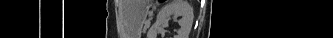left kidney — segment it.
I'll list each match as a JSON object with an SVG mask.
<instances>
[{
    "instance_id": "5707ae66",
    "label": "left kidney",
    "mask_w": 333,
    "mask_h": 38,
    "mask_svg": "<svg viewBox=\"0 0 333 38\" xmlns=\"http://www.w3.org/2000/svg\"><path fill=\"white\" fill-rule=\"evenodd\" d=\"M172 15L182 17L179 21L180 28L173 38H188L193 24V9L186 0H172L161 8L155 23L150 28L151 36L157 35Z\"/></svg>"
}]
</instances>
